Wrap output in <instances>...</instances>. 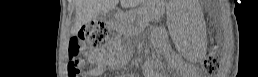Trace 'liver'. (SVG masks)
Returning <instances> with one entry per match:
<instances>
[{"mask_svg":"<svg viewBox=\"0 0 258 77\" xmlns=\"http://www.w3.org/2000/svg\"><path fill=\"white\" fill-rule=\"evenodd\" d=\"M119 0H76V23L74 32L95 19L101 12H106L116 6ZM126 1L122 0L121 5L126 6Z\"/></svg>","mask_w":258,"mask_h":77,"instance_id":"liver-1","label":"liver"}]
</instances>
